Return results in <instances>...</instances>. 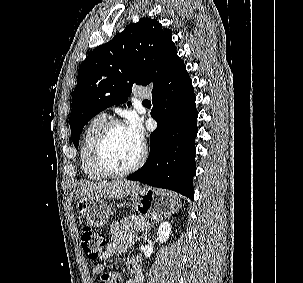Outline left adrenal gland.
<instances>
[{
	"label": "left adrenal gland",
	"instance_id": "a2214340",
	"mask_svg": "<svg viewBox=\"0 0 303 283\" xmlns=\"http://www.w3.org/2000/svg\"><path fill=\"white\" fill-rule=\"evenodd\" d=\"M162 219H163L162 217L156 219L152 224H150V225L146 228L145 233H144V240H147V234H148V232H149L151 226H153L154 223L159 222V221L162 220Z\"/></svg>",
	"mask_w": 303,
	"mask_h": 283
}]
</instances>
